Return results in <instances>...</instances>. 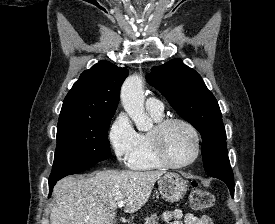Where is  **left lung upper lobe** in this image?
I'll list each match as a JSON object with an SVG mask.
<instances>
[{"mask_svg":"<svg viewBox=\"0 0 275 224\" xmlns=\"http://www.w3.org/2000/svg\"><path fill=\"white\" fill-rule=\"evenodd\" d=\"M147 82L158 89L179 116L201 134L202 156L206 172L215 178L233 179L226 132L217 100L201 76L179 59L153 67Z\"/></svg>","mask_w":275,"mask_h":224,"instance_id":"left-lung-upper-lobe-1","label":"left lung upper lobe"}]
</instances>
